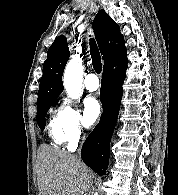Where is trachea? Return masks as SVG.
<instances>
[{
  "label": "trachea",
  "mask_w": 178,
  "mask_h": 195,
  "mask_svg": "<svg viewBox=\"0 0 178 195\" xmlns=\"http://www.w3.org/2000/svg\"><path fill=\"white\" fill-rule=\"evenodd\" d=\"M90 52L92 57V65L96 73H100L102 71V63H101V56L96 45L94 39H90Z\"/></svg>",
  "instance_id": "trachea-1"
}]
</instances>
